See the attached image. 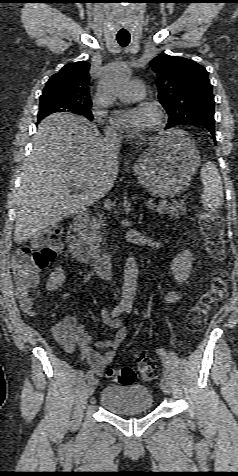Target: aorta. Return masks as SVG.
Wrapping results in <instances>:
<instances>
[{
    "label": "aorta",
    "instance_id": "obj_1",
    "mask_svg": "<svg viewBox=\"0 0 238 476\" xmlns=\"http://www.w3.org/2000/svg\"><path fill=\"white\" fill-rule=\"evenodd\" d=\"M129 76V69L125 66H116L110 69L102 82L100 99L105 107L114 101L119 87ZM138 269L135 258L130 254L124 268V283L122 286L121 305L131 307L136 294Z\"/></svg>",
    "mask_w": 238,
    "mask_h": 476
}]
</instances>
